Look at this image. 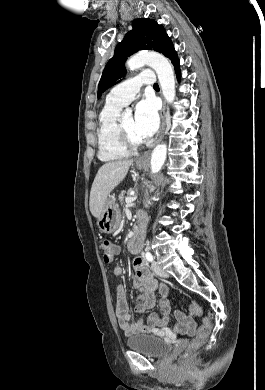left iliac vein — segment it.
<instances>
[{"label": "left iliac vein", "mask_w": 265, "mask_h": 390, "mask_svg": "<svg viewBox=\"0 0 265 390\" xmlns=\"http://www.w3.org/2000/svg\"><path fill=\"white\" fill-rule=\"evenodd\" d=\"M151 267L156 275L160 277H168V273L164 269H162L156 261L152 262Z\"/></svg>", "instance_id": "left-iliac-vein-1"}]
</instances>
